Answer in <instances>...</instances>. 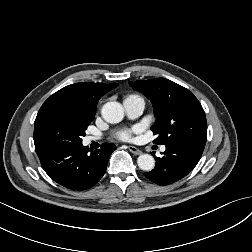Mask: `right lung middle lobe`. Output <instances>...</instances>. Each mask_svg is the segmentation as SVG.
<instances>
[{
    "instance_id": "1",
    "label": "right lung middle lobe",
    "mask_w": 252,
    "mask_h": 252,
    "mask_svg": "<svg viewBox=\"0 0 252 252\" xmlns=\"http://www.w3.org/2000/svg\"><path fill=\"white\" fill-rule=\"evenodd\" d=\"M93 119V116L78 115L63 108H51L36 117L34 144L81 143L85 130Z\"/></svg>"
}]
</instances>
